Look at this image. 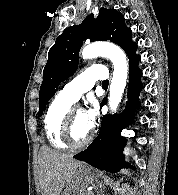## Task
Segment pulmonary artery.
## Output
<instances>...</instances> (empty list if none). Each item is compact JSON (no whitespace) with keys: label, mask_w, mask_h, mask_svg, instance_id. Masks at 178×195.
<instances>
[{"label":"pulmonary artery","mask_w":178,"mask_h":195,"mask_svg":"<svg viewBox=\"0 0 178 195\" xmlns=\"http://www.w3.org/2000/svg\"><path fill=\"white\" fill-rule=\"evenodd\" d=\"M107 69L103 65H93L68 82L60 93L72 102H76L83 93L89 91L98 80H105Z\"/></svg>","instance_id":"e3ab8cb5"}]
</instances>
